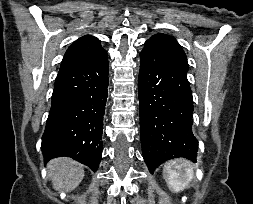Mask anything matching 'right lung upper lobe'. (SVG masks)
<instances>
[{
    "label": "right lung upper lobe",
    "mask_w": 253,
    "mask_h": 204,
    "mask_svg": "<svg viewBox=\"0 0 253 204\" xmlns=\"http://www.w3.org/2000/svg\"><path fill=\"white\" fill-rule=\"evenodd\" d=\"M104 50L100 41L93 36H84L76 40L67 49L59 72L67 70Z\"/></svg>",
    "instance_id": "right-lung-upper-lobe-1"
}]
</instances>
